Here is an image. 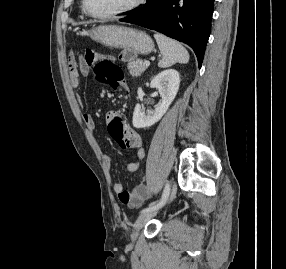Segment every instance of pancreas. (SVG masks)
I'll return each instance as SVG.
<instances>
[{"label":"pancreas","mask_w":286,"mask_h":269,"mask_svg":"<svg viewBox=\"0 0 286 269\" xmlns=\"http://www.w3.org/2000/svg\"><path fill=\"white\" fill-rule=\"evenodd\" d=\"M128 69L133 77H139L146 70L147 66L141 59L128 63Z\"/></svg>","instance_id":"cf45deb5"}]
</instances>
